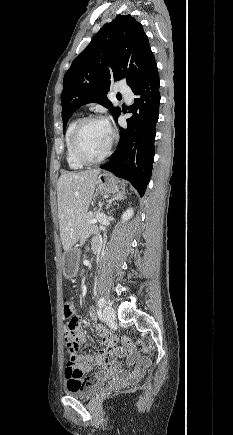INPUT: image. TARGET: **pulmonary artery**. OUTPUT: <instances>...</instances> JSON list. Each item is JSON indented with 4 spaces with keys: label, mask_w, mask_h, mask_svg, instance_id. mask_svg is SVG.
<instances>
[{
    "label": "pulmonary artery",
    "mask_w": 233,
    "mask_h": 435,
    "mask_svg": "<svg viewBox=\"0 0 233 435\" xmlns=\"http://www.w3.org/2000/svg\"><path fill=\"white\" fill-rule=\"evenodd\" d=\"M116 91L125 98L126 101H130L132 98V93L126 85H119L116 87Z\"/></svg>",
    "instance_id": "pulmonary-artery-1"
}]
</instances>
